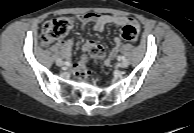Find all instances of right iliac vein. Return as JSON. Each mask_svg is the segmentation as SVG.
<instances>
[{
  "label": "right iliac vein",
  "mask_w": 194,
  "mask_h": 133,
  "mask_svg": "<svg viewBox=\"0 0 194 133\" xmlns=\"http://www.w3.org/2000/svg\"><path fill=\"white\" fill-rule=\"evenodd\" d=\"M56 64H57L58 66H63V65H64V62H63L61 59H57V60H56Z\"/></svg>",
  "instance_id": "obj_1"
}]
</instances>
